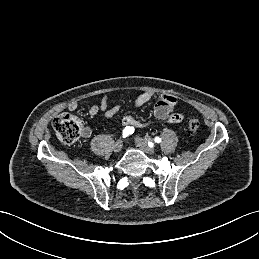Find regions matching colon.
<instances>
[{"mask_svg":"<svg viewBox=\"0 0 259 259\" xmlns=\"http://www.w3.org/2000/svg\"><path fill=\"white\" fill-rule=\"evenodd\" d=\"M200 126L198 119H191L188 123L190 132L195 133ZM53 127L58 139L65 144H71L78 140L82 132L81 121L68 113L58 115L53 122Z\"/></svg>","mask_w":259,"mask_h":259,"instance_id":"colon-1","label":"colon"}]
</instances>
